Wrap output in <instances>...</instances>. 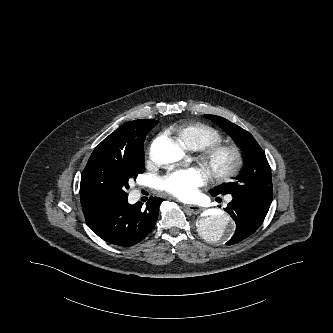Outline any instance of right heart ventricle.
Segmentation results:
<instances>
[{
	"label": "right heart ventricle",
	"mask_w": 333,
	"mask_h": 333,
	"mask_svg": "<svg viewBox=\"0 0 333 333\" xmlns=\"http://www.w3.org/2000/svg\"><path fill=\"white\" fill-rule=\"evenodd\" d=\"M174 130L180 144L187 149H204L223 140L219 130L203 123L181 122Z\"/></svg>",
	"instance_id": "1"
}]
</instances>
